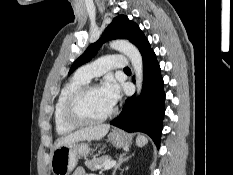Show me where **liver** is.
Listing matches in <instances>:
<instances>
[{"label":"liver","mask_w":233,"mask_h":175,"mask_svg":"<svg viewBox=\"0 0 233 175\" xmlns=\"http://www.w3.org/2000/svg\"><path fill=\"white\" fill-rule=\"evenodd\" d=\"M109 129L110 126L108 124H100L77 130L65 137L58 139L55 143V148L62 145H69L79 141L99 140L108 133Z\"/></svg>","instance_id":"obj_1"}]
</instances>
